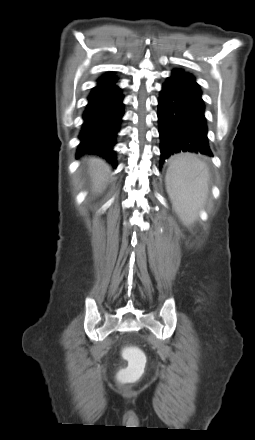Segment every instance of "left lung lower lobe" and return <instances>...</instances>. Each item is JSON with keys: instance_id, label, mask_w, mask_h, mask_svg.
<instances>
[{"instance_id": "obj_1", "label": "left lung lower lobe", "mask_w": 255, "mask_h": 440, "mask_svg": "<svg viewBox=\"0 0 255 440\" xmlns=\"http://www.w3.org/2000/svg\"><path fill=\"white\" fill-rule=\"evenodd\" d=\"M201 96L195 77L183 70H174L163 84L158 98L160 166L182 151L213 156Z\"/></svg>"}]
</instances>
